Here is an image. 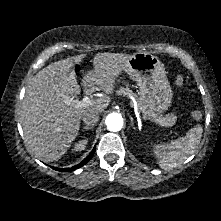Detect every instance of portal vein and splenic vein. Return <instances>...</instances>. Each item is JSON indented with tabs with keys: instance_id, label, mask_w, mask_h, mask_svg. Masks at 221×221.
Instances as JSON below:
<instances>
[{
	"instance_id": "portal-vein-and-splenic-vein-1",
	"label": "portal vein and splenic vein",
	"mask_w": 221,
	"mask_h": 221,
	"mask_svg": "<svg viewBox=\"0 0 221 221\" xmlns=\"http://www.w3.org/2000/svg\"><path fill=\"white\" fill-rule=\"evenodd\" d=\"M65 102L69 105H72V106L76 107V108L86 107V106L92 105L94 103V101L91 100L87 96H85L82 100H75L73 98H68V99L65 100ZM144 119H149L152 122L159 123V124L163 125V123L159 120L147 118L145 116H144Z\"/></svg>"
}]
</instances>
